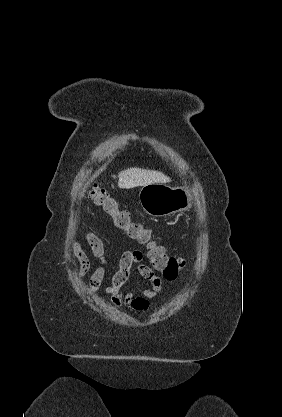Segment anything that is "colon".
Instances as JSON below:
<instances>
[{
  "mask_svg": "<svg viewBox=\"0 0 282 417\" xmlns=\"http://www.w3.org/2000/svg\"><path fill=\"white\" fill-rule=\"evenodd\" d=\"M90 196L112 219L114 225L126 232L132 240L148 249L151 266L161 272L166 279H174L184 269L186 260L182 257L167 255L164 247L153 239L152 231L141 223L134 221L128 211L122 209L108 190L95 183L90 189Z\"/></svg>",
  "mask_w": 282,
  "mask_h": 417,
  "instance_id": "5ec220e1",
  "label": "colon"
}]
</instances>
